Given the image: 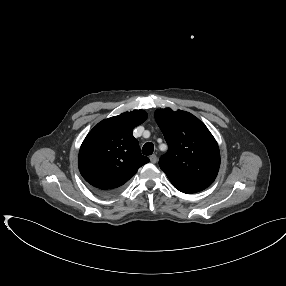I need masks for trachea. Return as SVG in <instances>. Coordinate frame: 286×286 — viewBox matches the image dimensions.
Listing matches in <instances>:
<instances>
[{
	"mask_svg": "<svg viewBox=\"0 0 286 286\" xmlns=\"http://www.w3.org/2000/svg\"><path fill=\"white\" fill-rule=\"evenodd\" d=\"M154 151V145L150 142L146 143L142 148V153L144 155H151Z\"/></svg>",
	"mask_w": 286,
	"mask_h": 286,
	"instance_id": "1",
	"label": "trachea"
}]
</instances>
